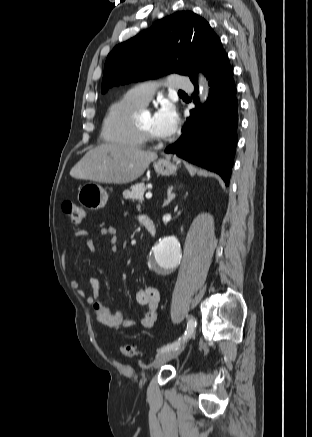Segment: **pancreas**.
<instances>
[{"mask_svg":"<svg viewBox=\"0 0 312 437\" xmlns=\"http://www.w3.org/2000/svg\"><path fill=\"white\" fill-rule=\"evenodd\" d=\"M147 190V186L142 182L135 184L131 187V190H127L123 193L125 199L132 201L138 200L142 202L144 200V193Z\"/></svg>","mask_w":312,"mask_h":437,"instance_id":"pancreas-1","label":"pancreas"}]
</instances>
